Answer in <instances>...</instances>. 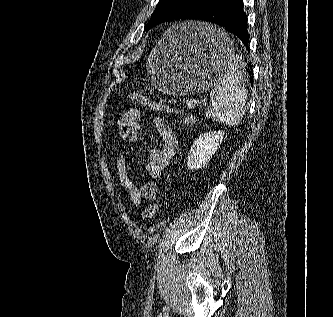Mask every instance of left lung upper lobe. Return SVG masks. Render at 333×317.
Wrapping results in <instances>:
<instances>
[{
	"mask_svg": "<svg viewBox=\"0 0 333 317\" xmlns=\"http://www.w3.org/2000/svg\"><path fill=\"white\" fill-rule=\"evenodd\" d=\"M212 1L214 0H160L144 30L165 21L184 19L188 13Z\"/></svg>",
	"mask_w": 333,
	"mask_h": 317,
	"instance_id": "left-lung-upper-lobe-1",
	"label": "left lung upper lobe"
}]
</instances>
